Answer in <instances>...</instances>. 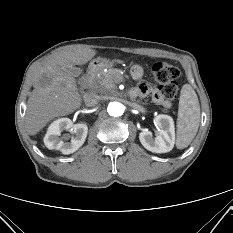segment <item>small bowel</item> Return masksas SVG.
<instances>
[{
  "label": "small bowel",
  "mask_w": 233,
  "mask_h": 233,
  "mask_svg": "<svg viewBox=\"0 0 233 233\" xmlns=\"http://www.w3.org/2000/svg\"><path fill=\"white\" fill-rule=\"evenodd\" d=\"M131 75L136 80L141 79L143 76L142 68L138 65L133 66L131 69ZM148 94L152 95V99L157 105L162 106L165 109H168L171 107L170 101L166 100L163 97L161 89L158 87H151L146 83H141L131 92V95L133 97L146 96Z\"/></svg>",
  "instance_id": "obj_1"
}]
</instances>
